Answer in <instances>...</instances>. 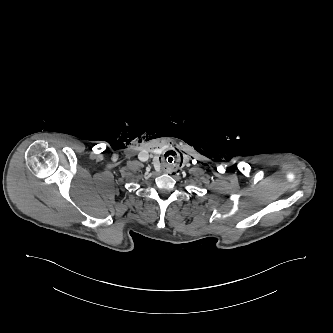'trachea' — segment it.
I'll return each instance as SVG.
<instances>
[{
    "instance_id": "3493384b",
    "label": "trachea",
    "mask_w": 333,
    "mask_h": 333,
    "mask_svg": "<svg viewBox=\"0 0 333 333\" xmlns=\"http://www.w3.org/2000/svg\"><path fill=\"white\" fill-rule=\"evenodd\" d=\"M176 155L175 154H172V153H167L164 155L163 157V162L165 165L167 166H172L175 164L176 162Z\"/></svg>"
}]
</instances>
